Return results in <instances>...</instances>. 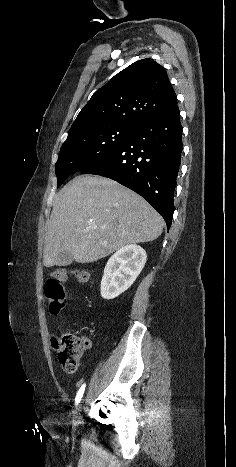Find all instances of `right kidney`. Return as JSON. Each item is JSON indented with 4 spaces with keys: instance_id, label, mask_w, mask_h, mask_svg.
<instances>
[{
    "instance_id": "obj_1",
    "label": "right kidney",
    "mask_w": 236,
    "mask_h": 467,
    "mask_svg": "<svg viewBox=\"0 0 236 467\" xmlns=\"http://www.w3.org/2000/svg\"><path fill=\"white\" fill-rule=\"evenodd\" d=\"M146 252L132 244L113 254L104 269L101 281V296L114 299L126 291L136 280L146 263Z\"/></svg>"
}]
</instances>
